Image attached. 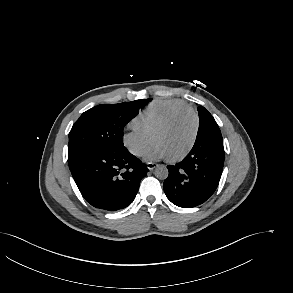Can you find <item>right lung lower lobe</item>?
I'll return each instance as SVG.
<instances>
[{
  "label": "right lung lower lobe",
  "instance_id": "98d812e1",
  "mask_svg": "<svg viewBox=\"0 0 293 293\" xmlns=\"http://www.w3.org/2000/svg\"><path fill=\"white\" fill-rule=\"evenodd\" d=\"M69 168L86 201L107 211L127 207L149 171L125 146L95 152Z\"/></svg>",
  "mask_w": 293,
  "mask_h": 293
}]
</instances>
